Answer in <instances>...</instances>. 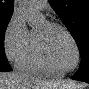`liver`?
Returning <instances> with one entry per match:
<instances>
[{"instance_id": "obj_1", "label": "liver", "mask_w": 89, "mask_h": 89, "mask_svg": "<svg viewBox=\"0 0 89 89\" xmlns=\"http://www.w3.org/2000/svg\"><path fill=\"white\" fill-rule=\"evenodd\" d=\"M64 81H46L26 74L11 72L0 74V89H78Z\"/></svg>"}]
</instances>
